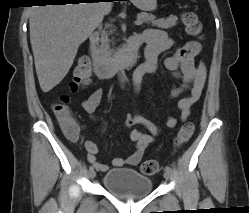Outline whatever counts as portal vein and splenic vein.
Masks as SVG:
<instances>
[{"label": "portal vein and splenic vein", "instance_id": "18ae733b", "mask_svg": "<svg viewBox=\"0 0 249 213\" xmlns=\"http://www.w3.org/2000/svg\"><path fill=\"white\" fill-rule=\"evenodd\" d=\"M143 24V20L138 18L136 21H135V25H142Z\"/></svg>", "mask_w": 249, "mask_h": 213}]
</instances>
